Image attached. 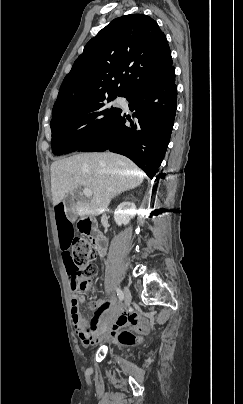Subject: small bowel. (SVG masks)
I'll return each instance as SVG.
<instances>
[{
  "instance_id": "small-bowel-1",
  "label": "small bowel",
  "mask_w": 243,
  "mask_h": 404,
  "mask_svg": "<svg viewBox=\"0 0 243 404\" xmlns=\"http://www.w3.org/2000/svg\"><path fill=\"white\" fill-rule=\"evenodd\" d=\"M56 227L58 230L60 248L62 250V259L67 273L71 276V288L75 290L77 285L73 279L74 266L72 263V254L70 246L73 240V226L66 215L65 207L62 203H58L54 209ZM84 302V297L81 295H73L71 299V315L72 320L79 339L84 345H90L95 342L100 331L106 328L103 322L102 314L108 308V301H95L91 304L95 315L88 325L79 311V305ZM114 331H120L131 328L139 333L148 331L147 323L135 313L119 314L110 320Z\"/></svg>"
}]
</instances>
